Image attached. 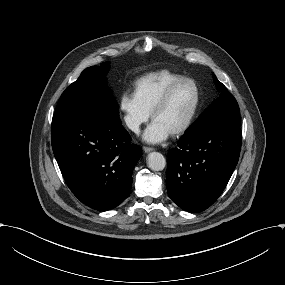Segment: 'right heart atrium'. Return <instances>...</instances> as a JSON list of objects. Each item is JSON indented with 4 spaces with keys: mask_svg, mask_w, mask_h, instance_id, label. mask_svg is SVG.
Wrapping results in <instances>:
<instances>
[{
    "mask_svg": "<svg viewBox=\"0 0 285 285\" xmlns=\"http://www.w3.org/2000/svg\"><path fill=\"white\" fill-rule=\"evenodd\" d=\"M119 108L127 126L138 131L148 121L151 112L144 106L136 94L135 88H128L120 97Z\"/></svg>",
    "mask_w": 285,
    "mask_h": 285,
    "instance_id": "obj_1",
    "label": "right heart atrium"
}]
</instances>
